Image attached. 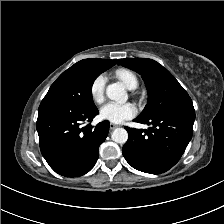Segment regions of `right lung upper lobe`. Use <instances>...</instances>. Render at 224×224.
I'll list each match as a JSON object with an SVG mask.
<instances>
[{"label": "right lung upper lobe", "instance_id": "obj_1", "mask_svg": "<svg viewBox=\"0 0 224 224\" xmlns=\"http://www.w3.org/2000/svg\"><path fill=\"white\" fill-rule=\"evenodd\" d=\"M88 60L106 70L111 68L117 63V60H106V59H99V58H92Z\"/></svg>", "mask_w": 224, "mask_h": 224}]
</instances>
